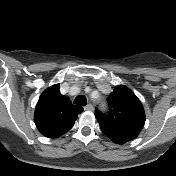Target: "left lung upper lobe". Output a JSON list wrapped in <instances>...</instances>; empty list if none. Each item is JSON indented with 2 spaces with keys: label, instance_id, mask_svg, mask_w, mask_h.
<instances>
[{
  "label": "left lung upper lobe",
  "instance_id": "1",
  "mask_svg": "<svg viewBox=\"0 0 176 176\" xmlns=\"http://www.w3.org/2000/svg\"><path fill=\"white\" fill-rule=\"evenodd\" d=\"M108 103V114L95 113L103 133L117 144L137 137L145 123V112L136 95L125 86H116Z\"/></svg>",
  "mask_w": 176,
  "mask_h": 176
}]
</instances>
